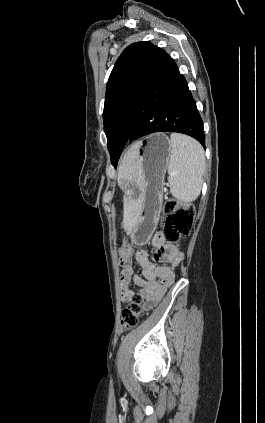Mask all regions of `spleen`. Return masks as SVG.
<instances>
[{"label": "spleen", "instance_id": "1", "mask_svg": "<svg viewBox=\"0 0 265 423\" xmlns=\"http://www.w3.org/2000/svg\"><path fill=\"white\" fill-rule=\"evenodd\" d=\"M172 152L168 164L171 194L184 203L194 201L200 194L206 160L203 147L191 137L172 133Z\"/></svg>", "mask_w": 265, "mask_h": 423}]
</instances>
